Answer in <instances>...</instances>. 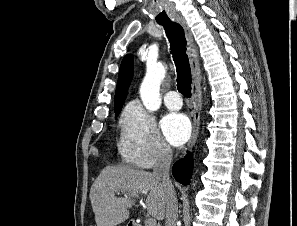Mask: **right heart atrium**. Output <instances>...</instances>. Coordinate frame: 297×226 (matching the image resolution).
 <instances>
[{"instance_id": "1", "label": "right heart atrium", "mask_w": 297, "mask_h": 226, "mask_svg": "<svg viewBox=\"0 0 297 226\" xmlns=\"http://www.w3.org/2000/svg\"><path fill=\"white\" fill-rule=\"evenodd\" d=\"M119 152L126 162L144 169L171 158L172 150L162 137L154 116L138 102L130 103L122 114Z\"/></svg>"}]
</instances>
